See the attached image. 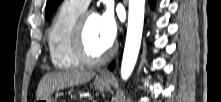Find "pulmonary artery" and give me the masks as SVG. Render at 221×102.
Returning <instances> with one entry per match:
<instances>
[{
    "instance_id": "1",
    "label": "pulmonary artery",
    "mask_w": 221,
    "mask_h": 102,
    "mask_svg": "<svg viewBox=\"0 0 221 102\" xmlns=\"http://www.w3.org/2000/svg\"><path fill=\"white\" fill-rule=\"evenodd\" d=\"M71 1L83 7L84 9H86L90 3V0H71Z\"/></svg>"
}]
</instances>
